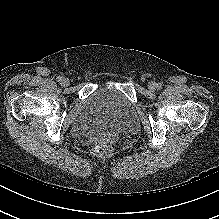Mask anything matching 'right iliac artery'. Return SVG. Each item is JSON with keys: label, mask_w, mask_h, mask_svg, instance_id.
Instances as JSON below:
<instances>
[{"label": "right iliac artery", "mask_w": 219, "mask_h": 219, "mask_svg": "<svg viewBox=\"0 0 219 219\" xmlns=\"http://www.w3.org/2000/svg\"><path fill=\"white\" fill-rule=\"evenodd\" d=\"M63 78H64V77H62V76H59V77H57V81H59V82H60V81H62V80H63Z\"/></svg>", "instance_id": "82829eb1"}]
</instances>
